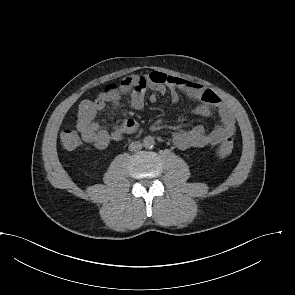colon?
Returning <instances> with one entry per match:
<instances>
[{
  "instance_id": "colon-1",
  "label": "colon",
  "mask_w": 295,
  "mask_h": 295,
  "mask_svg": "<svg viewBox=\"0 0 295 295\" xmlns=\"http://www.w3.org/2000/svg\"><path fill=\"white\" fill-rule=\"evenodd\" d=\"M60 139L63 146L68 150H73L81 144V138L77 130L73 128H64L61 131ZM233 150L232 138H227L218 147V154L222 157H226L231 154Z\"/></svg>"
}]
</instances>
